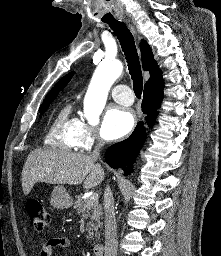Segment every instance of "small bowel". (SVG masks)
<instances>
[{
  "instance_id": "1",
  "label": "small bowel",
  "mask_w": 221,
  "mask_h": 256,
  "mask_svg": "<svg viewBox=\"0 0 221 256\" xmlns=\"http://www.w3.org/2000/svg\"><path fill=\"white\" fill-rule=\"evenodd\" d=\"M71 241L66 237H57L47 240L41 249V256H52L56 249H67L70 247Z\"/></svg>"
}]
</instances>
